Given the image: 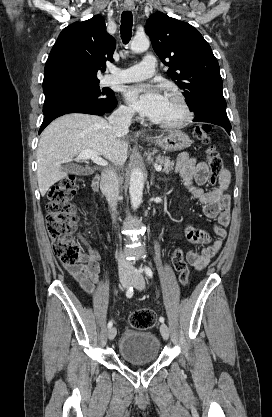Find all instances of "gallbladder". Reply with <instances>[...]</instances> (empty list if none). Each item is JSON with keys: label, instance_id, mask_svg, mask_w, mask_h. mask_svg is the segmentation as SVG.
<instances>
[{"label": "gallbladder", "instance_id": "obj_1", "mask_svg": "<svg viewBox=\"0 0 272 417\" xmlns=\"http://www.w3.org/2000/svg\"><path fill=\"white\" fill-rule=\"evenodd\" d=\"M63 170L74 175H86L88 173V170L85 167L71 163L64 164Z\"/></svg>", "mask_w": 272, "mask_h": 417}]
</instances>
